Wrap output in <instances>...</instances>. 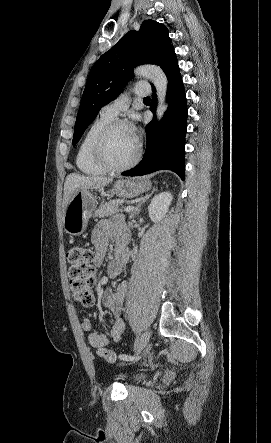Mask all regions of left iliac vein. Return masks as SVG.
<instances>
[{"mask_svg":"<svg viewBox=\"0 0 271 443\" xmlns=\"http://www.w3.org/2000/svg\"><path fill=\"white\" fill-rule=\"evenodd\" d=\"M149 338H150V332L149 331H145L142 334V336H141V338H140V340H139V342H138V344H137V346L135 348L136 353H140L146 347V345L149 342Z\"/></svg>","mask_w":271,"mask_h":443,"instance_id":"obj_1","label":"left iliac vein"}]
</instances>
